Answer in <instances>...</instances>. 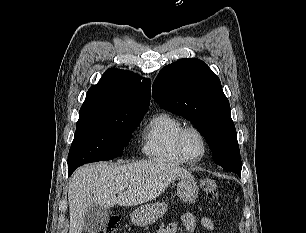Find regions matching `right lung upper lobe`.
<instances>
[{
	"instance_id": "obj_1",
	"label": "right lung upper lobe",
	"mask_w": 306,
	"mask_h": 233,
	"mask_svg": "<svg viewBox=\"0 0 306 233\" xmlns=\"http://www.w3.org/2000/svg\"><path fill=\"white\" fill-rule=\"evenodd\" d=\"M139 75L117 68L108 69L99 83L89 88L80 110L102 109L146 113L151 98V83Z\"/></svg>"
}]
</instances>
